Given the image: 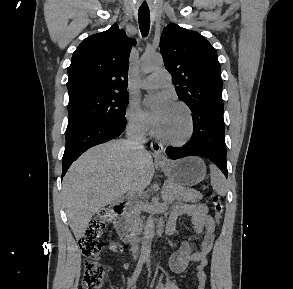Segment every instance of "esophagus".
I'll return each instance as SVG.
<instances>
[{"label": "esophagus", "instance_id": "obj_1", "mask_svg": "<svg viewBox=\"0 0 293 289\" xmlns=\"http://www.w3.org/2000/svg\"><path fill=\"white\" fill-rule=\"evenodd\" d=\"M153 156L155 160L165 162L166 158L163 155V147L159 144L153 146Z\"/></svg>", "mask_w": 293, "mask_h": 289}]
</instances>
